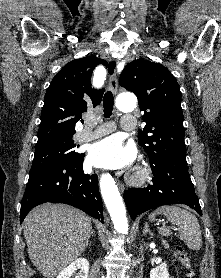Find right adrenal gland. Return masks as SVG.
I'll return each instance as SVG.
<instances>
[{"instance_id":"obj_1","label":"right adrenal gland","mask_w":221,"mask_h":278,"mask_svg":"<svg viewBox=\"0 0 221 278\" xmlns=\"http://www.w3.org/2000/svg\"><path fill=\"white\" fill-rule=\"evenodd\" d=\"M91 235H92V236H95V231H92Z\"/></svg>"}]
</instances>
